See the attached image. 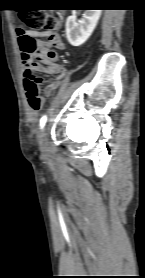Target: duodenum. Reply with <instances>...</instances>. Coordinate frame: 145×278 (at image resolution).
<instances>
[{
	"instance_id": "410a0bca",
	"label": "duodenum",
	"mask_w": 145,
	"mask_h": 278,
	"mask_svg": "<svg viewBox=\"0 0 145 278\" xmlns=\"http://www.w3.org/2000/svg\"><path fill=\"white\" fill-rule=\"evenodd\" d=\"M53 90L45 91V96L50 97L52 95Z\"/></svg>"
}]
</instances>
